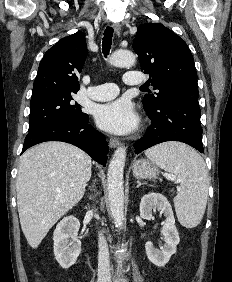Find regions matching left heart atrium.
<instances>
[{"mask_svg": "<svg viewBox=\"0 0 232 282\" xmlns=\"http://www.w3.org/2000/svg\"><path fill=\"white\" fill-rule=\"evenodd\" d=\"M95 118L101 129L117 134L126 133L137 124L136 114L124 99L100 105L95 111Z\"/></svg>", "mask_w": 232, "mask_h": 282, "instance_id": "obj_1", "label": "left heart atrium"}]
</instances>
